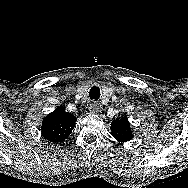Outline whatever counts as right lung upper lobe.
<instances>
[{"label": "right lung upper lobe", "mask_w": 188, "mask_h": 188, "mask_svg": "<svg viewBox=\"0 0 188 188\" xmlns=\"http://www.w3.org/2000/svg\"><path fill=\"white\" fill-rule=\"evenodd\" d=\"M76 120L77 118L74 115L65 112L62 108H56L43 119L42 135L50 142H62L74 129Z\"/></svg>", "instance_id": "1"}]
</instances>
